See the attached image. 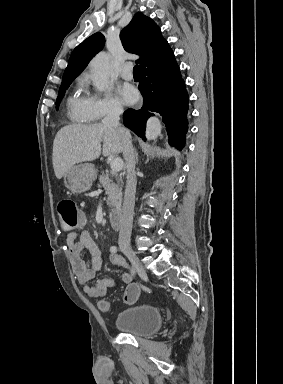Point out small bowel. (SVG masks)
<instances>
[{
    "label": "small bowel",
    "mask_w": 283,
    "mask_h": 384,
    "mask_svg": "<svg viewBox=\"0 0 283 384\" xmlns=\"http://www.w3.org/2000/svg\"><path fill=\"white\" fill-rule=\"evenodd\" d=\"M67 249L70 256L73 272L79 284L83 287V292L91 298H103L108 290L116 286V281L109 277L100 278L96 283L91 284L90 280L102 266L101 252L91 237L88 230L81 229L72 232L67 236ZM83 252H88L90 259L86 262L82 258ZM112 253V252H111ZM109 260L112 264L122 266L125 272L121 279L126 284H132L133 276L129 272L128 265L119 255L110 254Z\"/></svg>",
    "instance_id": "obj_1"
}]
</instances>
